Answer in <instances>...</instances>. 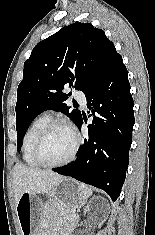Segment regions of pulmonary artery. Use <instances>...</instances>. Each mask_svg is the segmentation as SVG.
Returning <instances> with one entry per match:
<instances>
[{
    "label": "pulmonary artery",
    "instance_id": "e3ab8cb5",
    "mask_svg": "<svg viewBox=\"0 0 155 235\" xmlns=\"http://www.w3.org/2000/svg\"><path fill=\"white\" fill-rule=\"evenodd\" d=\"M75 99L83 105L86 104V97L81 91L75 92Z\"/></svg>",
    "mask_w": 155,
    "mask_h": 235
}]
</instances>
